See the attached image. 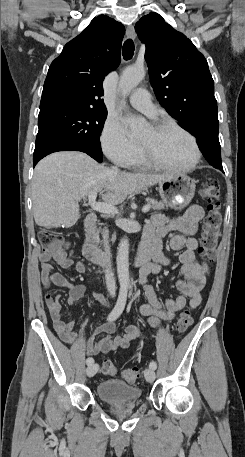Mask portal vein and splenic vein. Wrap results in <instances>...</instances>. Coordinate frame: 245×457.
Masks as SVG:
<instances>
[{
  "label": "portal vein and splenic vein",
  "mask_w": 245,
  "mask_h": 457,
  "mask_svg": "<svg viewBox=\"0 0 245 457\" xmlns=\"http://www.w3.org/2000/svg\"><path fill=\"white\" fill-rule=\"evenodd\" d=\"M98 192H89L88 200L93 208V210H99V212H105V214H117L118 208L114 204H109V202H96V196ZM150 204H145L142 208V212H148L150 210Z\"/></svg>",
  "instance_id": "obj_1"
}]
</instances>
